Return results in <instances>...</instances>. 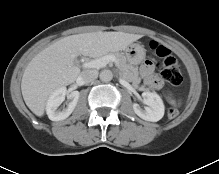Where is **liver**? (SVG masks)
<instances>
[{
    "instance_id": "6515ba94",
    "label": "liver",
    "mask_w": 219,
    "mask_h": 174,
    "mask_svg": "<svg viewBox=\"0 0 219 174\" xmlns=\"http://www.w3.org/2000/svg\"><path fill=\"white\" fill-rule=\"evenodd\" d=\"M141 38L124 32H92L64 37L41 52L27 65L21 81L23 99L36 115L43 116L50 95L74 83L80 76L75 59L80 56L100 57L125 50Z\"/></svg>"
}]
</instances>
